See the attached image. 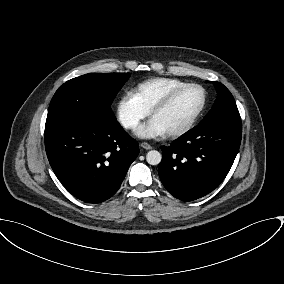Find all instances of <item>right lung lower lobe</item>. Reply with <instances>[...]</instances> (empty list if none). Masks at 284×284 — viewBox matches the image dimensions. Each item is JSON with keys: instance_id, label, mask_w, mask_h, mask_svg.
Listing matches in <instances>:
<instances>
[{"instance_id": "1", "label": "right lung lower lobe", "mask_w": 284, "mask_h": 284, "mask_svg": "<svg viewBox=\"0 0 284 284\" xmlns=\"http://www.w3.org/2000/svg\"><path fill=\"white\" fill-rule=\"evenodd\" d=\"M45 148L60 182L87 203L112 197L139 154L138 143L115 116L62 122L45 131Z\"/></svg>"}]
</instances>
